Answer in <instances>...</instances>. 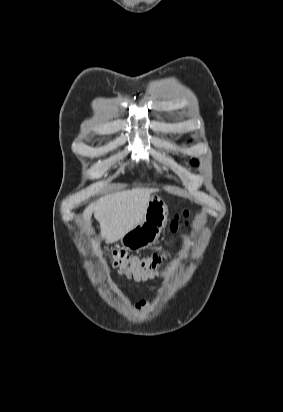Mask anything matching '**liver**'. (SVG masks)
Returning <instances> with one entry per match:
<instances>
[{
	"label": "liver",
	"mask_w": 283,
	"mask_h": 412,
	"mask_svg": "<svg viewBox=\"0 0 283 412\" xmlns=\"http://www.w3.org/2000/svg\"><path fill=\"white\" fill-rule=\"evenodd\" d=\"M155 191L156 189L134 188L106 195L83 211V221L89 227L94 213L100 225L101 237L106 243L117 242L143 221L150 194Z\"/></svg>",
	"instance_id": "6515ba94"
}]
</instances>
